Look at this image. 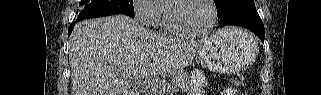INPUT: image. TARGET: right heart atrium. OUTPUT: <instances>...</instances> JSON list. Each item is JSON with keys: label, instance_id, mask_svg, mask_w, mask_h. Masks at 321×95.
<instances>
[{"label": "right heart atrium", "instance_id": "1", "mask_svg": "<svg viewBox=\"0 0 321 95\" xmlns=\"http://www.w3.org/2000/svg\"><path fill=\"white\" fill-rule=\"evenodd\" d=\"M132 9L135 19L143 25L154 24L160 15V4L157 0H136Z\"/></svg>", "mask_w": 321, "mask_h": 95}]
</instances>
